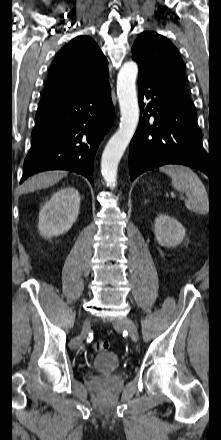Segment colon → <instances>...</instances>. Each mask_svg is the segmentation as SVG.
<instances>
[{
	"label": "colon",
	"instance_id": "5ec220e1",
	"mask_svg": "<svg viewBox=\"0 0 221 440\" xmlns=\"http://www.w3.org/2000/svg\"><path fill=\"white\" fill-rule=\"evenodd\" d=\"M92 348L96 352H104L108 350L109 343L107 341H96L93 343Z\"/></svg>",
	"mask_w": 221,
	"mask_h": 440
}]
</instances>
